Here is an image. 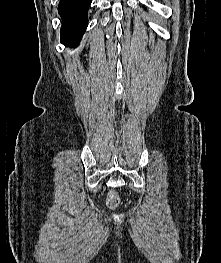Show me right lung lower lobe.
Segmentation results:
<instances>
[{"label": "right lung lower lobe", "instance_id": "obj_1", "mask_svg": "<svg viewBox=\"0 0 221 263\" xmlns=\"http://www.w3.org/2000/svg\"><path fill=\"white\" fill-rule=\"evenodd\" d=\"M91 0H60L58 13L62 18L61 43L76 46L87 28Z\"/></svg>", "mask_w": 221, "mask_h": 263}]
</instances>
